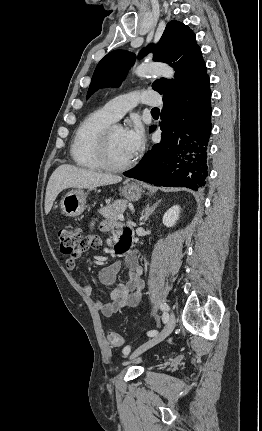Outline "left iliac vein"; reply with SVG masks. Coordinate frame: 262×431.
Returning a JSON list of instances; mask_svg holds the SVG:
<instances>
[{"label":"left iliac vein","instance_id":"1","mask_svg":"<svg viewBox=\"0 0 262 431\" xmlns=\"http://www.w3.org/2000/svg\"><path fill=\"white\" fill-rule=\"evenodd\" d=\"M176 322L175 317L173 313L167 314V323L165 328L156 336H154L152 339L147 341L145 344H143L141 347L136 349L132 355L131 359L137 358L140 354H142L144 351L148 350L149 348L157 345L159 342L163 341L167 336L171 334L173 329L175 328Z\"/></svg>","mask_w":262,"mask_h":431}]
</instances>
